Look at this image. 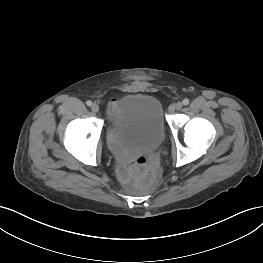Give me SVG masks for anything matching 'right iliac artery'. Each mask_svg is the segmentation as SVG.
Returning a JSON list of instances; mask_svg holds the SVG:
<instances>
[{"mask_svg":"<svg viewBox=\"0 0 263 263\" xmlns=\"http://www.w3.org/2000/svg\"><path fill=\"white\" fill-rule=\"evenodd\" d=\"M86 104H87V106H91V105H92V102H91L90 100H88V101L86 102Z\"/></svg>","mask_w":263,"mask_h":263,"instance_id":"82829eb1","label":"right iliac artery"}]
</instances>
